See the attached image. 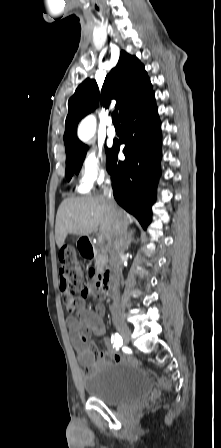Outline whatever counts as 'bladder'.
Masks as SVG:
<instances>
[{"instance_id":"31cf9c89","label":"bladder","mask_w":221,"mask_h":448,"mask_svg":"<svg viewBox=\"0 0 221 448\" xmlns=\"http://www.w3.org/2000/svg\"><path fill=\"white\" fill-rule=\"evenodd\" d=\"M81 383L90 398L107 405L143 399L153 391L151 378L146 371L118 362L99 368L85 376Z\"/></svg>"}]
</instances>
